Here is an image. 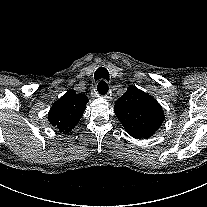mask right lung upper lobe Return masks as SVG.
Returning <instances> with one entry per match:
<instances>
[{
    "mask_svg": "<svg viewBox=\"0 0 207 207\" xmlns=\"http://www.w3.org/2000/svg\"><path fill=\"white\" fill-rule=\"evenodd\" d=\"M88 98L84 94L68 91L51 107L48 119L61 132H70L79 122Z\"/></svg>",
    "mask_w": 207,
    "mask_h": 207,
    "instance_id": "cb5924a9",
    "label": "right lung upper lobe"
}]
</instances>
